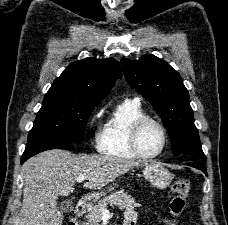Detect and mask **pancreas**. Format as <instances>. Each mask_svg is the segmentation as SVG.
Returning <instances> with one entry per match:
<instances>
[{
	"label": "pancreas",
	"mask_w": 228,
	"mask_h": 225,
	"mask_svg": "<svg viewBox=\"0 0 228 225\" xmlns=\"http://www.w3.org/2000/svg\"><path fill=\"white\" fill-rule=\"evenodd\" d=\"M120 207V209H134V207H141L139 203H135V199H132L131 195L124 193V191H116L111 193L109 197H104L101 201H98L95 207H92L89 215H86V225H99L100 219H102V211L106 207Z\"/></svg>",
	"instance_id": "1"
}]
</instances>
